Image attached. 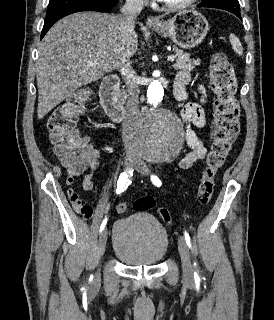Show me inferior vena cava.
Segmentation results:
<instances>
[{
    "instance_id": "602c4592",
    "label": "inferior vena cava",
    "mask_w": 274,
    "mask_h": 320,
    "mask_svg": "<svg viewBox=\"0 0 274 320\" xmlns=\"http://www.w3.org/2000/svg\"><path fill=\"white\" fill-rule=\"evenodd\" d=\"M145 2L146 0H126L124 6L120 8L121 18L117 22V34L118 38H123L126 44L130 42L131 38H136V32H134L135 20L141 14ZM119 68L127 88V112L122 130L123 142H127L129 140L127 138L129 128H133V124H135L139 114L140 84L139 78L130 64L129 52L123 54L122 64Z\"/></svg>"
}]
</instances>
